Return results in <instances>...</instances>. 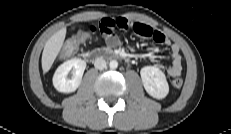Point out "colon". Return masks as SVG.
I'll return each instance as SVG.
<instances>
[{
  "mask_svg": "<svg viewBox=\"0 0 231 134\" xmlns=\"http://www.w3.org/2000/svg\"><path fill=\"white\" fill-rule=\"evenodd\" d=\"M82 37H83L82 35L77 36L74 39L70 40L68 43H66V45L63 47L61 51V56L63 58H68L72 56L77 51ZM182 84H183V80L181 78H175L172 81V85L174 88H180Z\"/></svg>",
  "mask_w": 231,
  "mask_h": 134,
  "instance_id": "5ec220e1",
  "label": "colon"
}]
</instances>
